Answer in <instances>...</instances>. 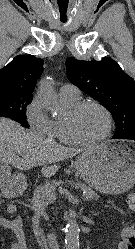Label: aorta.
<instances>
[{"mask_svg":"<svg viewBox=\"0 0 135 249\" xmlns=\"http://www.w3.org/2000/svg\"><path fill=\"white\" fill-rule=\"evenodd\" d=\"M39 99L51 108L58 105V96L49 81H44L38 91ZM79 233L80 229L75 220H71L65 230V248L79 249Z\"/></svg>","mask_w":135,"mask_h":249,"instance_id":"obj_1","label":"aorta"}]
</instances>
